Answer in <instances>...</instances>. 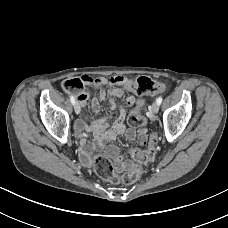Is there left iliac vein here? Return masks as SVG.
<instances>
[{
	"instance_id": "left-iliac-vein-1",
	"label": "left iliac vein",
	"mask_w": 228,
	"mask_h": 228,
	"mask_svg": "<svg viewBox=\"0 0 228 228\" xmlns=\"http://www.w3.org/2000/svg\"><path fill=\"white\" fill-rule=\"evenodd\" d=\"M158 111H159V105H158L157 102H154V103L152 104V113H153V114H157Z\"/></svg>"
}]
</instances>
